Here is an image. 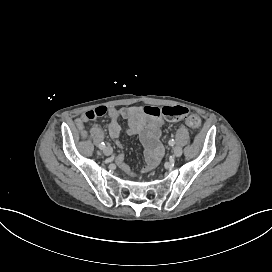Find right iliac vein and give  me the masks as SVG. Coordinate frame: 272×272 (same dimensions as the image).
<instances>
[{
	"label": "right iliac vein",
	"mask_w": 272,
	"mask_h": 272,
	"mask_svg": "<svg viewBox=\"0 0 272 272\" xmlns=\"http://www.w3.org/2000/svg\"><path fill=\"white\" fill-rule=\"evenodd\" d=\"M113 153V149L110 146L104 148V154L109 156Z\"/></svg>",
	"instance_id": "right-iliac-vein-1"
}]
</instances>
